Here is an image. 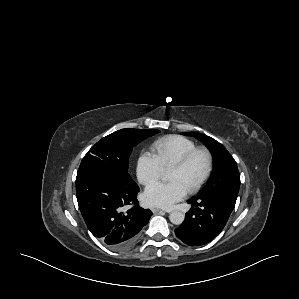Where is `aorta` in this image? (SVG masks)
Returning a JSON list of instances; mask_svg holds the SVG:
<instances>
[{"label": "aorta", "mask_w": 299, "mask_h": 299, "mask_svg": "<svg viewBox=\"0 0 299 299\" xmlns=\"http://www.w3.org/2000/svg\"><path fill=\"white\" fill-rule=\"evenodd\" d=\"M169 219L175 225H181L184 222L185 215L180 211H174L170 214Z\"/></svg>", "instance_id": "762f6f07"}]
</instances>
